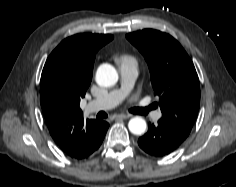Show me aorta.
Segmentation results:
<instances>
[{
	"label": "aorta",
	"instance_id": "obj_1",
	"mask_svg": "<svg viewBox=\"0 0 236 187\" xmlns=\"http://www.w3.org/2000/svg\"><path fill=\"white\" fill-rule=\"evenodd\" d=\"M118 73L116 69L110 64H102L98 67L96 72V82L99 86L110 87L117 83ZM146 121L141 117H134L130 119L128 128L131 133L141 135L146 131Z\"/></svg>",
	"mask_w": 236,
	"mask_h": 187
}]
</instances>
